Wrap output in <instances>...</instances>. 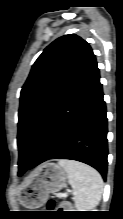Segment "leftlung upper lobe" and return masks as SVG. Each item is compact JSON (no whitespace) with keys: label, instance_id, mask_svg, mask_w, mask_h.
<instances>
[{"label":"left lung upper lobe","instance_id":"left-lung-upper-lobe-1","mask_svg":"<svg viewBox=\"0 0 123 219\" xmlns=\"http://www.w3.org/2000/svg\"><path fill=\"white\" fill-rule=\"evenodd\" d=\"M95 61L90 45L75 34L53 41L35 61L20 94L18 174L25 172L56 111Z\"/></svg>","mask_w":123,"mask_h":219}]
</instances>
